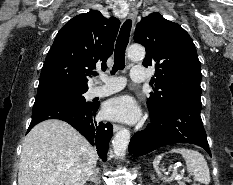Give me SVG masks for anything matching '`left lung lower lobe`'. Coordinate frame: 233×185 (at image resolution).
Instances as JSON below:
<instances>
[{"instance_id": "1", "label": "left lung lower lobe", "mask_w": 233, "mask_h": 185, "mask_svg": "<svg viewBox=\"0 0 233 185\" xmlns=\"http://www.w3.org/2000/svg\"><path fill=\"white\" fill-rule=\"evenodd\" d=\"M201 94L188 93L172 102L162 114H150L151 123L137 132L129 143V153L145 155L159 147L174 143H191L204 148L211 156L201 111Z\"/></svg>"}]
</instances>
